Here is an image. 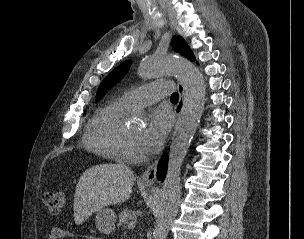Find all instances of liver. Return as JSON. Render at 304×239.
I'll return each mask as SVG.
<instances>
[{
    "mask_svg": "<svg viewBox=\"0 0 304 239\" xmlns=\"http://www.w3.org/2000/svg\"><path fill=\"white\" fill-rule=\"evenodd\" d=\"M134 182V172L123 164L88 168L80 176L75 190V223L81 225L99 209L127 201L132 194Z\"/></svg>",
    "mask_w": 304,
    "mask_h": 239,
    "instance_id": "6515ba94",
    "label": "liver"
}]
</instances>
